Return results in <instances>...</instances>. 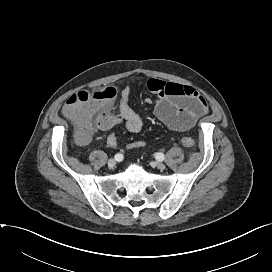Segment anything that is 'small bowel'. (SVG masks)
Returning a JSON list of instances; mask_svg holds the SVG:
<instances>
[{"label":"small bowel","mask_w":272,"mask_h":272,"mask_svg":"<svg viewBox=\"0 0 272 272\" xmlns=\"http://www.w3.org/2000/svg\"><path fill=\"white\" fill-rule=\"evenodd\" d=\"M156 95L153 100L154 115L169 129L178 132L188 131L195 126L198 119L209 112L205 98L193 87L174 82H165L157 78H149L140 82ZM131 86L126 85L121 92L119 112L115 115H101L97 127L108 130L115 125L124 124L129 132L137 133L143 126V118L130 106L129 96ZM151 103V102H150ZM110 147L117 146L115 132L107 138ZM143 145L141 141L130 143V149H137Z\"/></svg>","instance_id":"obj_1"}]
</instances>
